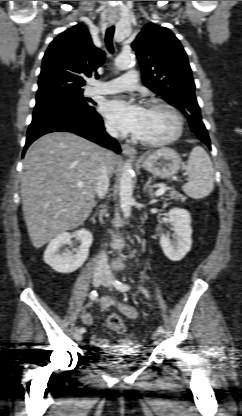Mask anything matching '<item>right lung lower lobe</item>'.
Wrapping results in <instances>:
<instances>
[{
  "mask_svg": "<svg viewBox=\"0 0 242 416\" xmlns=\"http://www.w3.org/2000/svg\"><path fill=\"white\" fill-rule=\"evenodd\" d=\"M55 131L73 132L116 153L121 152L117 141L106 133L103 120L93 106L82 108L62 102H48L34 108L23 154L34 140Z\"/></svg>",
  "mask_w": 242,
  "mask_h": 416,
  "instance_id": "right-lung-lower-lobe-1",
  "label": "right lung lower lobe"
}]
</instances>
